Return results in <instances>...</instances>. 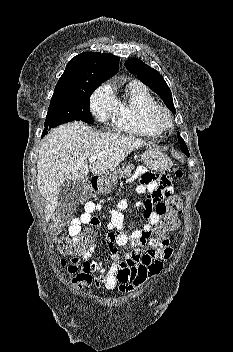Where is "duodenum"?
<instances>
[{"instance_id": "obj_1", "label": "duodenum", "mask_w": 233, "mask_h": 352, "mask_svg": "<svg viewBox=\"0 0 233 352\" xmlns=\"http://www.w3.org/2000/svg\"><path fill=\"white\" fill-rule=\"evenodd\" d=\"M91 186L94 191H97L99 188V179L97 177H94L91 181Z\"/></svg>"}]
</instances>
